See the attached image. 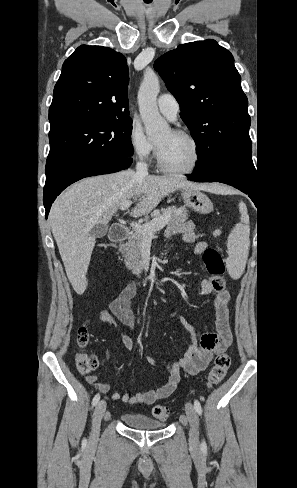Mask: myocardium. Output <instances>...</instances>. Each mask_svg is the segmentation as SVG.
Wrapping results in <instances>:
<instances>
[{
	"instance_id": "1",
	"label": "myocardium",
	"mask_w": 297,
	"mask_h": 488,
	"mask_svg": "<svg viewBox=\"0 0 297 488\" xmlns=\"http://www.w3.org/2000/svg\"><path fill=\"white\" fill-rule=\"evenodd\" d=\"M172 133L175 134V135L184 137V138L188 139L191 142V144L193 146V149H194V152H195L194 160H193L192 164L188 168H186V169H174V168H171V167L167 166L165 164V162L163 161L162 156H161L160 147L157 145L156 160H157L158 167L163 172L169 173V174H174V175H188V174H191L194 171H196V169L199 167L200 162H201V159H202V151H201V147L199 145V142L188 131H185V130H182V129H173L172 130Z\"/></svg>"
}]
</instances>
